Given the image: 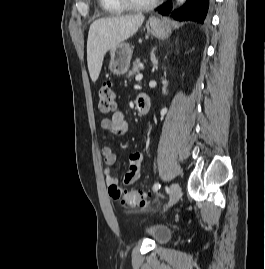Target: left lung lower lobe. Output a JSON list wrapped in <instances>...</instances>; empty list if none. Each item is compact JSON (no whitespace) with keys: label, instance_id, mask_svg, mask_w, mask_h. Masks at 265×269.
Listing matches in <instances>:
<instances>
[{"label":"left lung lower lobe","instance_id":"0a47b994","mask_svg":"<svg viewBox=\"0 0 265 269\" xmlns=\"http://www.w3.org/2000/svg\"><path fill=\"white\" fill-rule=\"evenodd\" d=\"M213 0H187L186 3L172 13L176 20L194 21L203 24L209 14ZM172 4L168 2L160 8L158 12L162 15H168L171 12Z\"/></svg>","mask_w":265,"mask_h":269}]
</instances>
